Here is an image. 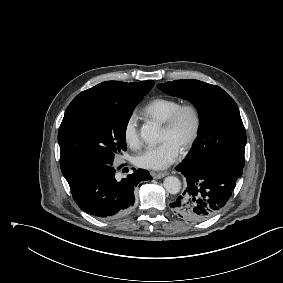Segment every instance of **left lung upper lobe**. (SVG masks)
Segmentation results:
<instances>
[{"label": "left lung upper lobe", "mask_w": 283, "mask_h": 283, "mask_svg": "<svg viewBox=\"0 0 283 283\" xmlns=\"http://www.w3.org/2000/svg\"><path fill=\"white\" fill-rule=\"evenodd\" d=\"M160 90L193 103L199 111L198 139L182 162L191 169L224 163L244 167L245 128L235 101L220 87L199 80H175Z\"/></svg>", "instance_id": "5c2ea615"}]
</instances>
